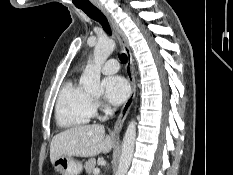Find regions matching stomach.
Returning <instances> with one entry per match:
<instances>
[{
	"mask_svg": "<svg viewBox=\"0 0 233 175\" xmlns=\"http://www.w3.org/2000/svg\"><path fill=\"white\" fill-rule=\"evenodd\" d=\"M54 169L62 175H79L82 172V163L68 156L58 157L53 163Z\"/></svg>",
	"mask_w": 233,
	"mask_h": 175,
	"instance_id": "1",
	"label": "stomach"
}]
</instances>
